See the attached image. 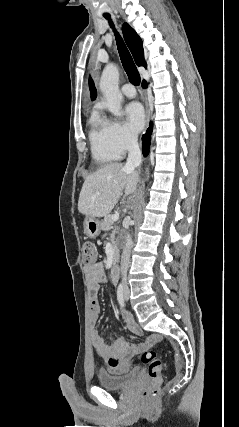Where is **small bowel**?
Returning <instances> with one entry per match:
<instances>
[{"instance_id": "obj_1", "label": "small bowel", "mask_w": 239, "mask_h": 427, "mask_svg": "<svg viewBox=\"0 0 239 427\" xmlns=\"http://www.w3.org/2000/svg\"><path fill=\"white\" fill-rule=\"evenodd\" d=\"M85 273L90 290L89 318L91 324L95 325L100 314V302L97 293L100 285L106 281V274L102 263L88 266L85 269ZM120 314L126 329L130 333L136 336L142 335L141 328L128 311L121 310ZM109 322L110 319L107 318L105 323L108 324ZM158 339V336L152 335L141 343L129 345L124 338H118L112 342L107 341L103 337L102 331L96 328H93L91 332L92 344L97 354L106 363L108 371L112 374H124L128 372L135 354L148 347H152Z\"/></svg>"}]
</instances>
